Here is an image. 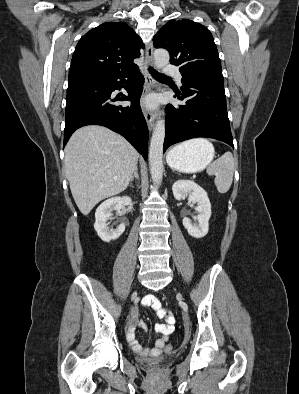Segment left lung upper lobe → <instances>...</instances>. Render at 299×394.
<instances>
[{
    "label": "left lung upper lobe",
    "instance_id": "left-lung-upper-lobe-1",
    "mask_svg": "<svg viewBox=\"0 0 299 394\" xmlns=\"http://www.w3.org/2000/svg\"><path fill=\"white\" fill-rule=\"evenodd\" d=\"M156 48H165L170 63L180 66L183 78L196 75L223 77L221 61L211 32L200 23L171 20L153 38Z\"/></svg>",
    "mask_w": 299,
    "mask_h": 394
}]
</instances>
